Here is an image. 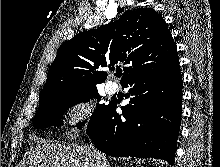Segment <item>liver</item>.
<instances>
[{
    "mask_svg": "<svg viewBox=\"0 0 220 167\" xmlns=\"http://www.w3.org/2000/svg\"><path fill=\"white\" fill-rule=\"evenodd\" d=\"M23 156L17 167H96L89 146L53 144L43 139Z\"/></svg>",
    "mask_w": 220,
    "mask_h": 167,
    "instance_id": "liver-1",
    "label": "liver"
}]
</instances>
